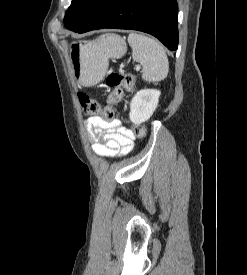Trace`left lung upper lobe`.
Listing matches in <instances>:
<instances>
[{
  "mask_svg": "<svg viewBox=\"0 0 247 275\" xmlns=\"http://www.w3.org/2000/svg\"><path fill=\"white\" fill-rule=\"evenodd\" d=\"M103 0H72L64 24L70 30L80 28Z\"/></svg>",
  "mask_w": 247,
  "mask_h": 275,
  "instance_id": "obj_1",
  "label": "left lung upper lobe"
}]
</instances>
